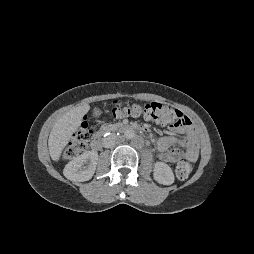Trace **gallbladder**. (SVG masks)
Instances as JSON below:
<instances>
[{"mask_svg":"<svg viewBox=\"0 0 254 254\" xmlns=\"http://www.w3.org/2000/svg\"><path fill=\"white\" fill-rule=\"evenodd\" d=\"M93 114H94V116H99L100 115V110L95 109Z\"/></svg>","mask_w":254,"mask_h":254,"instance_id":"1","label":"gallbladder"}]
</instances>
